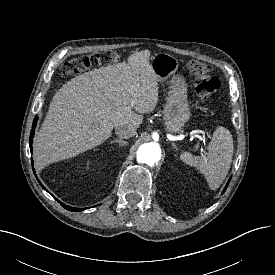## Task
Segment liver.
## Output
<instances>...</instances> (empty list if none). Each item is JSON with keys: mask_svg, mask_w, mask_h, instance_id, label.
Listing matches in <instances>:
<instances>
[{"mask_svg": "<svg viewBox=\"0 0 275 275\" xmlns=\"http://www.w3.org/2000/svg\"><path fill=\"white\" fill-rule=\"evenodd\" d=\"M150 51L134 52L128 63H117L81 74L53 96L34 142L39 169L92 149L116 126L138 128L158 103V78ZM133 109L137 112H134Z\"/></svg>", "mask_w": 275, "mask_h": 275, "instance_id": "6515ba94", "label": "liver"}]
</instances>
